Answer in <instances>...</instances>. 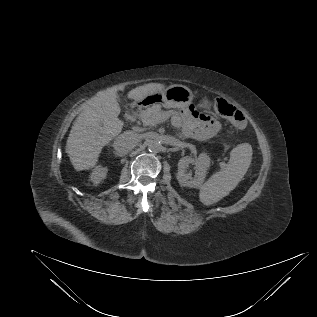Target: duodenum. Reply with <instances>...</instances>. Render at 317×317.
<instances>
[{"instance_id":"410a0bca","label":"duodenum","mask_w":317,"mask_h":317,"mask_svg":"<svg viewBox=\"0 0 317 317\" xmlns=\"http://www.w3.org/2000/svg\"><path fill=\"white\" fill-rule=\"evenodd\" d=\"M137 105H138V103H134L133 106H132V108L136 107Z\"/></svg>"}]
</instances>
